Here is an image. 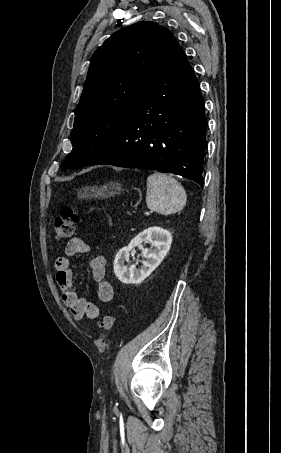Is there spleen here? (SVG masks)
I'll return each instance as SVG.
<instances>
[{"mask_svg": "<svg viewBox=\"0 0 281 453\" xmlns=\"http://www.w3.org/2000/svg\"><path fill=\"white\" fill-rule=\"evenodd\" d=\"M183 190L180 182L169 174L153 172L147 178L146 204L150 210L160 214L178 212L186 204Z\"/></svg>", "mask_w": 281, "mask_h": 453, "instance_id": "spleen-1", "label": "spleen"}]
</instances>
